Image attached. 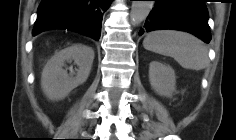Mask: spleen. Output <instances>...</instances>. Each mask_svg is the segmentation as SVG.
<instances>
[{
  "label": "spleen",
  "mask_w": 236,
  "mask_h": 140,
  "mask_svg": "<svg viewBox=\"0 0 236 140\" xmlns=\"http://www.w3.org/2000/svg\"><path fill=\"white\" fill-rule=\"evenodd\" d=\"M143 46L146 50L174 58L185 69L201 70L209 65L206 46L189 33L154 31L145 37Z\"/></svg>",
  "instance_id": "1"
}]
</instances>
